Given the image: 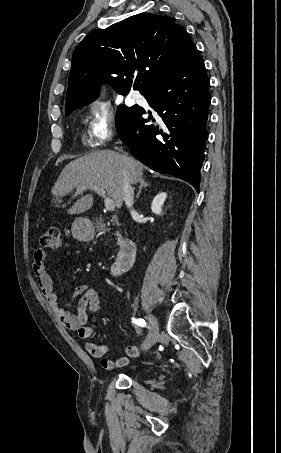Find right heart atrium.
<instances>
[{
    "label": "right heart atrium",
    "instance_id": "right-heart-atrium-1",
    "mask_svg": "<svg viewBox=\"0 0 281 453\" xmlns=\"http://www.w3.org/2000/svg\"><path fill=\"white\" fill-rule=\"evenodd\" d=\"M88 134L100 144L109 142L117 129L118 122L112 110L102 101L93 102L88 108ZM95 160L102 163L107 171L118 173L121 170L119 158L107 152L95 155Z\"/></svg>",
    "mask_w": 281,
    "mask_h": 453
}]
</instances>
